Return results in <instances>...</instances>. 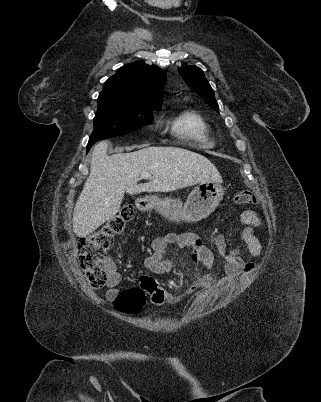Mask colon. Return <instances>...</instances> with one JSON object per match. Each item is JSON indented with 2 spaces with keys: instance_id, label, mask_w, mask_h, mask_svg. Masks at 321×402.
Listing matches in <instances>:
<instances>
[{
  "instance_id": "1",
  "label": "colon",
  "mask_w": 321,
  "mask_h": 402,
  "mask_svg": "<svg viewBox=\"0 0 321 402\" xmlns=\"http://www.w3.org/2000/svg\"><path fill=\"white\" fill-rule=\"evenodd\" d=\"M235 202L243 205L257 204L256 196L251 192H240L234 197ZM131 206H124L118 214L106 221L98 230L78 240V256L82 273L92 289L105 286L108 269L105 266L107 252L113 247L115 238L122 234L127 224L134 218ZM146 296L139 287L123 291L116 300L119 311L125 314H137L144 307Z\"/></svg>"
}]
</instances>
